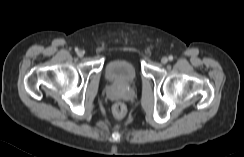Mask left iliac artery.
I'll use <instances>...</instances> for the list:
<instances>
[{
  "instance_id": "44dca946",
  "label": "left iliac artery",
  "mask_w": 244,
  "mask_h": 157,
  "mask_svg": "<svg viewBox=\"0 0 244 157\" xmlns=\"http://www.w3.org/2000/svg\"><path fill=\"white\" fill-rule=\"evenodd\" d=\"M169 60H170V61L173 60V56H172V55L169 56Z\"/></svg>"
}]
</instances>
